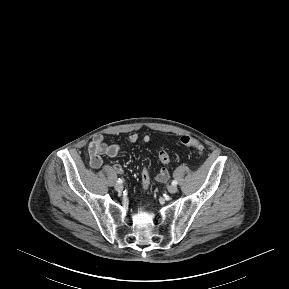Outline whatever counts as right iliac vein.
Instances as JSON below:
<instances>
[{
    "instance_id": "right-iliac-vein-1",
    "label": "right iliac vein",
    "mask_w": 289,
    "mask_h": 289,
    "mask_svg": "<svg viewBox=\"0 0 289 289\" xmlns=\"http://www.w3.org/2000/svg\"><path fill=\"white\" fill-rule=\"evenodd\" d=\"M115 190L118 191V192H121V191L123 190V185H122V184H119V183L116 184V185H115Z\"/></svg>"
}]
</instances>
